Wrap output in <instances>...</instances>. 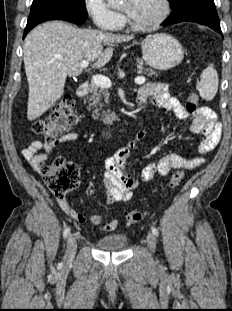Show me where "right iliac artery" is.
<instances>
[{
	"label": "right iliac artery",
	"instance_id": "82829eb1",
	"mask_svg": "<svg viewBox=\"0 0 232 311\" xmlns=\"http://www.w3.org/2000/svg\"><path fill=\"white\" fill-rule=\"evenodd\" d=\"M69 234H70V228L67 227L63 231V237L66 239L69 236Z\"/></svg>",
	"mask_w": 232,
	"mask_h": 311
}]
</instances>
